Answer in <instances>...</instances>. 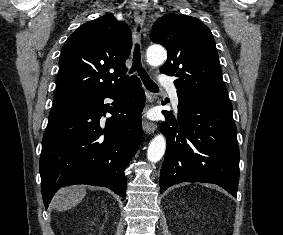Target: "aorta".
Returning <instances> with one entry per match:
<instances>
[{
  "instance_id": "762f6f07",
  "label": "aorta",
  "mask_w": 283,
  "mask_h": 235,
  "mask_svg": "<svg viewBox=\"0 0 283 235\" xmlns=\"http://www.w3.org/2000/svg\"><path fill=\"white\" fill-rule=\"evenodd\" d=\"M166 60V51L159 45H152L147 49V61L153 66H158ZM166 150V139L164 135L155 136L148 147L147 158L152 163L158 162L164 155Z\"/></svg>"
}]
</instances>
